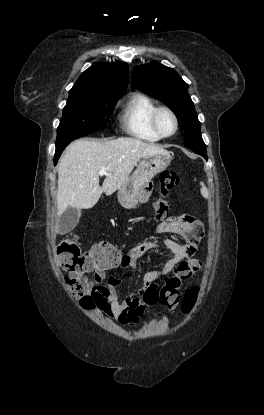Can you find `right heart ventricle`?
Wrapping results in <instances>:
<instances>
[{
  "label": "right heart ventricle",
  "instance_id": "1",
  "mask_svg": "<svg viewBox=\"0 0 264 415\" xmlns=\"http://www.w3.org/2000/svg\"><path fill=\"white\" fill-rule=\"evenodd\" d=\"M156 103L143 94L132 95L123 105L121 122L130 136L145 142L155 143L161 138L153 131L150 116Z\"/></svg>",
  "mask_w": 264,
  "mask_h": 415
}]
</instances>
